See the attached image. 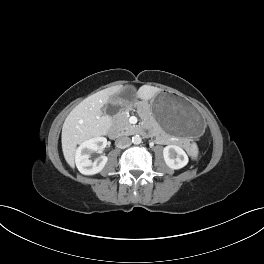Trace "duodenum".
I'll return each instance as SVG.
<instances>
[{
	"label": "duodenum",
	"instance_id": "obj_1",
	"mask_svg": "<svg viewBox=\"0 0 264 264\" xmlns=\"http://www.w3.org/2000/svg\"><path fill=\"white\" fill-rule=\"evenodd\" d=\"M136 132H138V130H137ZM108 134H109V136L112 137V138H115V137H117V136L120 135V134H119V131H118L116 128H113V127H111V128L108 130Z\"/></svg>",
	"mask_w": 264,
	"mask_h": 264
}]
</instances>
